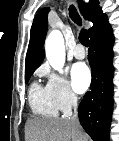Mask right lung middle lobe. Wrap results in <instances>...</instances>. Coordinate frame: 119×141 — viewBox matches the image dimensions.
Here are the masks:
<instances>
[{"label":"right lung middle lobe","mask_w":119,"mask_h":141,"mask_svg":"<svg viewBox=\"0 0 119 141\" xmlns=\"http://www.w3.org/2000/svg\"><path fill=\"white\" fill-rule=\"evenodd\" d=\"M32 74H33V72L25 73V83L28 82V80H29V78L31 77Z\"/></svg>","instance_id":"right-lung-middle-lobe-1"}]
</instances>
